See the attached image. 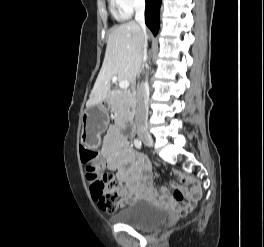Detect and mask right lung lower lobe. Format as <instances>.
<instances>
[{"label":"right lung lower lobe","mask_w":264,"mask_h":247,"mask_svg":"<svg viewBox=\"0 0 264 247\" xmlns=\"http://www.w3.org/2000/svg\"><path fill=\"white\" fill-rule=\"evenodd\" d=\"M160 6L161 0H146L145 22L154 36H156L159 31Z\"/></svg>","instance_id":"1"}]
</instances>
